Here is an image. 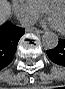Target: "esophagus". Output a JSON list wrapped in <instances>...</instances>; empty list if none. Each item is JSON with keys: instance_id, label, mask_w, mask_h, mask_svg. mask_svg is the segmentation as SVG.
Instances as JSON below:
<instances>
[{"instance_id": "obj_1", "label": "esophagus", "mask_w": 65, "mask_h": 89, "mask_svg": "<svg viewBox=\"0 0 65 89\" xmlns=\"http://www.w3.org/2000/svg\"><path fill=\"white\" fill-rule=\"evenodd\" d=\"M28 31L35 32V33H39V34H42V33H43L42 30L37 29V28H29Z\"/></svg>"}]
</instances>
